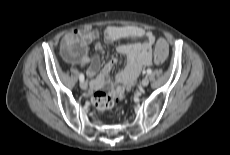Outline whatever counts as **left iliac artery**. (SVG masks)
Masks as SVG:
<instances>
[{
    "label": "left iliac artery",
    "instance_id": "1",
    "mask_svg": "<svg viewBox=\"0 0 230 155\" xmlns=\"http://www.w3.org/2000/svg\"><path fill=\"white\" fill-rule=\"evenodd\" d=\"M146 73L150 74L151 73V69H147Z\"/></svg>",
    "mask_w": 230,
    "mask_h": 155
}]
</instances>
